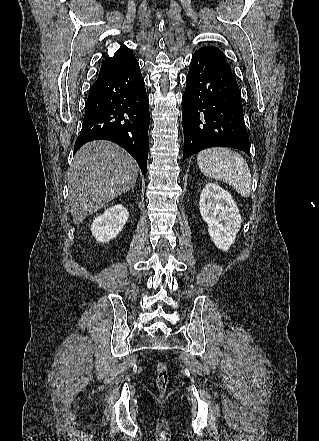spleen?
<instances>
[{
  "instance_id": "obj_1",
  "label": "spleen",
  "mask_w": 319,
  "mask_h": 441,
  "mask_svg": "<svg viewBox=\"0 0 319 441\" xmlns=\"http://www.w3.org/2000/svg\"><path fill=\"white\" fill-rule=\"evenodd\" d=\"M197 163L205 176L225 182L242 197H249L251 172L246 160L239 153L224 147L205 149L198 153Z\"/></svg>"
}]
</instances>
